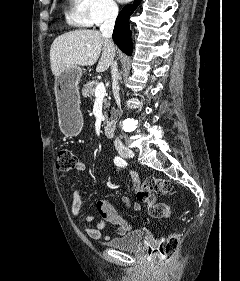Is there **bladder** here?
Listing matches in <instances>:
<instances>
[{
	"instance_id": "bladder-1",
	"label": "bladder",
	"mask_w": 240,
	"mask_h": 281,
	"mask_svg": "<svg viewBox=\"0 0 240 281\" xmlns=\"http://www.w3.org/2000/svg\"><path fill=\"white\" fill-rule=\"evenodd\" d=\"M147 234L143 230H134L125 235L111 239L106 244L111 248L122 251L136 252L141 250Z\"/></svg>"
}]
</instances>
